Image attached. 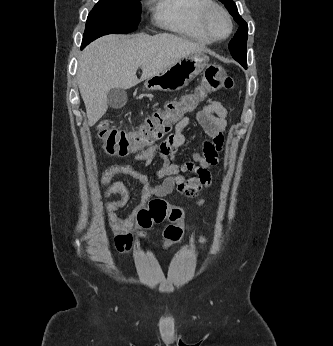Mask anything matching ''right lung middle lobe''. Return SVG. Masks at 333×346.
<instances>
[{"label":"right lung middle lobe","instance_id":"obj_1","mask_svg":"<svg viewBox=\"0 0 333 346\" xmlns=\"http://www.w3.org/2000/svg\"><path fill=\"white\" fill-rule=\"evenodd\" d=\"M140 12V0H99L88 15L81 48L106 34L135 31Z\"/></svg>","mask_w":333,"mask_h":346}]
</instances>
